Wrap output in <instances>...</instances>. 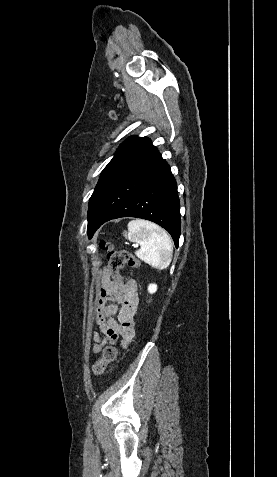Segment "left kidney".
Masks as SVG:
<instances>
[{
    "mask_svg": "<svg viewBox=\"0 0 277 477\" xmlns=\"http://www.w3.org/2000/svg\"><path fill=\"white\" fill-rule=\"evenodd\" d=\"M156 291H157V285H156V284H150V285L148 286V292H149L150 294H153V293H155Z\"/></svg>",
    "mask_w": 277,
    "mask_h": 477,
    "instance_id": "1",
    "label": "left kidney"
}]
</instances>
